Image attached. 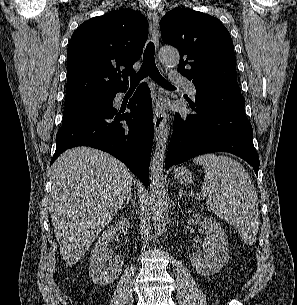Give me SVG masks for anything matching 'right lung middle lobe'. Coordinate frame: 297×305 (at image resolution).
Segmentation results:
<instances>
[{
	"instance_id": "dd1d6c3e",
	"label": "right lung middle lobe",
	"mask_w": 297,
	"mask_h": 305,
	"mask_svg": "<svg viewBox=\"0 0 297 305\" xmlns=\"http://www.w3.org/2000/svg\"><path fill=\"white\" fill-rule=\"evenodd\" d=\"M112 94H97L65 102L62 124L91 110L111 105Z\"/></svg>"
}]
</instances>
